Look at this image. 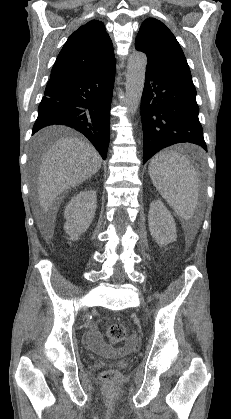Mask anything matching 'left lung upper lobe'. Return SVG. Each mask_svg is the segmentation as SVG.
I'll return each instance as SVG.
<instances>
[{"label": "left lung upper lobe", "mask_w": 231, "mask_h": 419, "mask_svg": "<svg viewBox=\"0 0 231 419\" xmlns=\"http://www.w3.org/2000/svg\"><path fill=\"white\" fill-rule=\"evenodd\" d=\"M135 48L146 53V70L192 79L178 41L161 21L148 18L142 23L135 40Z\"/></svg>", "instance_id": "obj_1"}]
</instances>
